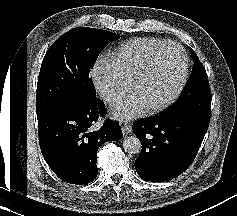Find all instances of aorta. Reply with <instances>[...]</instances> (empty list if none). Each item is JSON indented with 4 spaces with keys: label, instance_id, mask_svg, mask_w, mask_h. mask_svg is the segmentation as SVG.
<instances>
[{
    "label": "aorta",
    "instance_id": "aorta-1",
    "mask_svg": "<svg viewBox=\"0 0 237 216\" xmlns=\"http://www.w3.org/2000/svg\"><path fill=\"white\" fill-rule=\"evenodd\" d=\"M122 144L124 151L128 154L137 155L141 153L142 144L137 136H126Z\"/></svg>",
    "mask_w": 237,
    "mask_h": 216
}]
</instances>
